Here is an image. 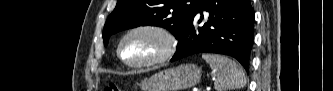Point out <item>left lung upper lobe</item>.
<instances>
[{
  "instance_id": "left-lung-upper-lobe-1",
  "label": "left lung upper lobe",
  "mask_w": 333,
  "mask_h": 91,
  "mask_svg": "<svg viewBox=\"0 0 333 91\" xmlns=\"http://www.w3.org/2000/svg\"><path fill=\"white\" fill-rule=\"evenodd\" d=\"M200 1L118 0L104 26V45L111 35L141 25L164 27L178 38Z\"/></svg>"
}]
</instances>
